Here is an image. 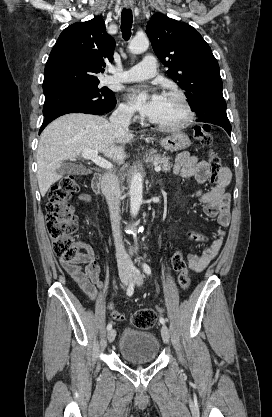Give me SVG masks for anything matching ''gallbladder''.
Returning a JSON list of instances; mask_svg holds the SVG:
<instances>
[{"label":"gallbladder","instance_id":"obj_1","mask_svg":"<svg viewBox=\"0 0 272 417\" xmlns=\"http://www.w3.org/2000/svg\"><path fill=\"white\" fill-rule=\"evenodd\" d=\"M58 173L67 175H85L88 173L86 167L73 163H61Z\"/></svg>","mask_w":272,"mask_h":417}]
</instances>
